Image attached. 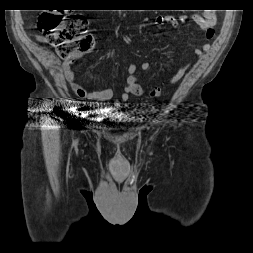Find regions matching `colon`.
Masks as SVG:
<instances>
[{
    "label": "colon",
    "mask_w": 253,
    "mask_h": 253,
    "mask_svg": "<svg viewBox=\"0 0 253 253\" xmlns=\"http://www.w3.org/2000/svg\"><path fill=\"white\" fill-rule=\"evenodd\" d=\"M38 29L65 59H75L89 52L94 45L92 35L87 32V20L82 15L43 13L38 19ZM160 94L161 88L156 87L148 97L153 99Z\"/></svg>",
    "instance_id": "5ec220e1"
}]
</instances>
